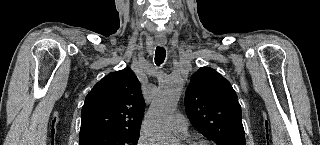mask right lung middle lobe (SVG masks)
Wrapping results in <instances>:
<instances>
[{"instance_id":"dd1d6c3e","label":"right lung middle lobe","mask_w":320,"mask_h":145,"mask_svg":"<svg viewBox=\"0 0 320 145\" xmlns=\"http://www.w3.org/2000/svg\"><path fill=\"white\" fill-rule=\"evenodd\" d=\"M139 132H101L80 137L79 145H137Z\"/></svg>"}]
</instances>
